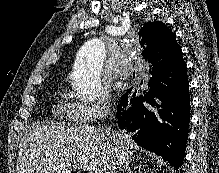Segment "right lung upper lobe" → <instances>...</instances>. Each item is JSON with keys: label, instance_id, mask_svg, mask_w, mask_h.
<instances>
[{"label": "right lung upper lobe", "instance_id": "right-lung-upper-lobe-1", "mask_svg": "<svg viewBox=\"0 0 219 173\" xmlns=\"http://www.w3.org/2000/svg\"><path fill=\"white\" fill-rule=\"evenodd\" d=\"M143 57L148 60L152 55L159 54L168 57L182 56L173 32L162 22H148L139 31Z\"/></svg>", "mask_w": 219, "mask_h": 173}]
</instances>
